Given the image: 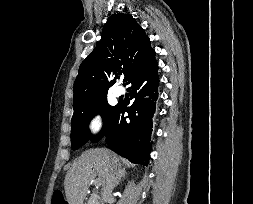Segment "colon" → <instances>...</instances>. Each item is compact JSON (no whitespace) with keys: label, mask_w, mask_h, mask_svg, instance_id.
Masks as SVG:
<instances>
[{"label":"colon","mask_w":253,"mask_h":204,"mask_svg":"<svg viewBox=\"0 0 253 204\" xmlns=\"http://www.w3.org/2000/svg\"><path fill=\"white\" fill-rule=\"evenodd\" d=\"M51 204H66L64 195L61 191H54L52 194Z\"/></svg>","instance_id":"colon-1"}]
</instances>
